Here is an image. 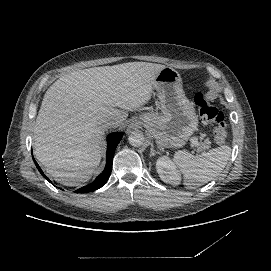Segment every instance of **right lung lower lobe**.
<instances>
[{
  "instance_id": "1",
  "label": "right lung lower lobe",
  "mask_w": 271,
  "mask_h": 271,
  "mask_svg": "<svg viewBox=\"0 0 271 271\" xmlns=\"http://www.w3.org/2000/svg\"><path fill=\"white\" fill-rule=\"evenodd\" d=\"M122 136H123L122 133H113L108 136L107 163H106V167L104 171L94 180V182L76 190V192L86 193V192L95 191L99 189L100 187H102L107 182L112 171V160H113L114 152L118 143L122 139ZM33 160L38 170L43 175V177L46 178L51 183V181L44 175V173L42 172L41 168L38 166L34 158Z\"/></svg>"
}]
</instances>
